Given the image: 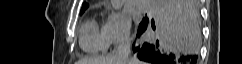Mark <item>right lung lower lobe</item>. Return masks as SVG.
Segmentation results:
<instances>
[{
	"mask_svg": "<svg viewBox=\"0 0 242 64\" xmlns=\"http://www.w3.org/2000/svg\"><path fill=\"white\" fill-rule=\"evenodd\" d=\"M156 14L158 40L133 45L134 53L140 60L152 64H196L200 41L197 0H156ZM152 27H155L153 23ZM146 28L147 24L139 27L138 36Z\"/></svg>",
	"mask_w": 242,
	"mask_h": 64,
	"instance_id": "1",
	"label": "right lung lower lobe"
}]
</instances>
